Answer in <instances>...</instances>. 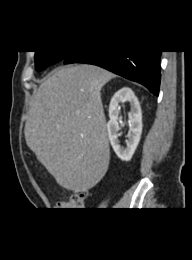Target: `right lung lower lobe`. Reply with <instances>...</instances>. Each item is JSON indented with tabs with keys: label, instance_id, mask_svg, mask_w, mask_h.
Here are the masks:
<instances>
[{
	"label": "right lung lower lobe",
	"instance_id": "1",
	"mask_svg": "<svg viewBox=\"0 0 192 260\" xmlns=\"http://www.w3.org/2000/svg\"><path fill=\"white\" fill-rule=\"evenodd\" d=\"M161 51L88 50L70 52L64 64L87 63L103 67L113 73L144 85L158 96L160 85Z\"/></svg>",
	"mask_w": 192,
	"mask_h": 260
}]
</instances>
